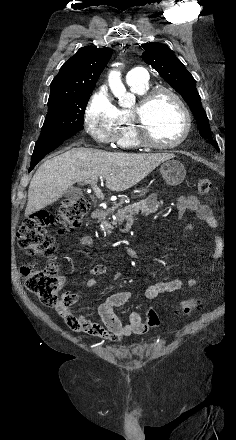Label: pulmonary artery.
<instances>
[{"label":"pulmonary artery","instance_id":"obj_1","mask_svg":"<svg viewBox=\"0 0 236 440\" xmlns=\"http://www.w3.org/2000/svg\"><path fill=\"white\" fill-rule=\"evenodd\" d=\"M148 72L143 67H134L127 74L128 83H141L148 81Z\"/></svg>","mask_w":236,"mask_h":440}]
</instances>
